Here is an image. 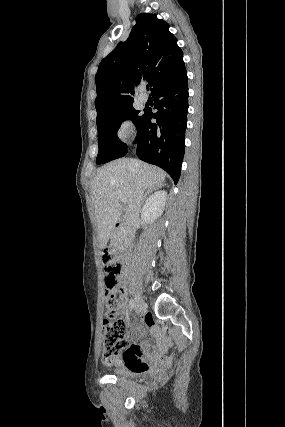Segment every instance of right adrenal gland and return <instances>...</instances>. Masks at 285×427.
Returning a JSON list of instances; mask_svg holds the SVG:
<instances>
[{
  "label": "right adrenal gland",
  "instance_id": "2a0ac1e0",
  "mask_svg": "<svg viewBox=\"0 0 285 427\" xmlns=\"http://www.w3.org/2000/svg\"><path fill=\"white\" fill-rule=\"evenodd\" d=\"M162 186H156V187H154V188H152V189H149L146 193H145V195H144V198H143V201L147 198V195H149L150 193H152L154 190H157V189H159V188H161Z\"/></svg>",
  "mask_w": 285,
  "mask_h": 427
}]
</instances>
